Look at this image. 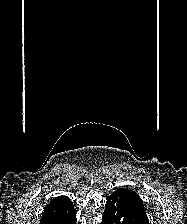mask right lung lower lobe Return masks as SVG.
Instances as JSON below:
<instances>
[{
    "label": "right lung lower lobe",
    "instance_id": "obj_1",
    "mask_svg": "<svg viewBox=\"0 0 187 224\" xmlns=\"http://www.w3.org/2000/svg\"><path fill=\"white\" fill-rule=\"evenodd\" d=\"M54 224H76V212H75V210H73L68 217L63 218L61 220H58Z\"/></svg>",
    "mask_w": 187,
    "mask_h": 224
}]
</instances>
